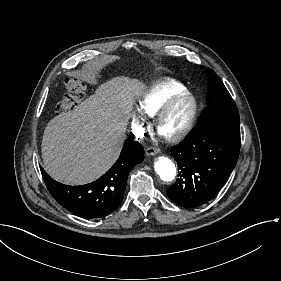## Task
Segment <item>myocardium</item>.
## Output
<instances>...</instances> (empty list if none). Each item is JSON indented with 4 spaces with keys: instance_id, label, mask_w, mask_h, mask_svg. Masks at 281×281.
Segmentation results:
<instances>
[{
    "instance_id": "f54148a6",
    "label": "myocardium",
    "mask_w": 281,
    "mask_h": 281,
    "mask_svg": "<svg viewBox=\"0 0 281 281\" xmlns=\"http://www.w3.org/2000/svg\"><path fill=\"white\" fill-rule=\"evenodd\" d=\"M189 98L191 102L189 113L182 123L175 131L165 134L162 131V123L172 109V107L180 100ZM198 112V103L195 96L189 91H183L168 99L152 116V126L156 134L168 143H177L181 141L192 129Z\"/></svg>"
}]
</instances>
